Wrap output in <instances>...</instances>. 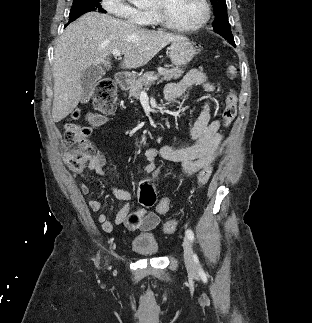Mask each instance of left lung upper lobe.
<instances>
[{
	"instance_id": "obj_1",
	"label": "left lung upper lobe",
	"mask_w": 312,
	"mask_h": 323,
	"mask_svg": "<svg viewBox=\"0 0 312 323\" xmlns=\"http://www.w3.org/2000/svg\"><path fill=\"white\" fill-rule=\"evenodd\" d=\"M214 6L215 19L212 23L214 31L225 39H227L232 45H235L234 38L230 29V24L227 15V5L225 0H210Z\"/></svg>"
}]
</instances>
